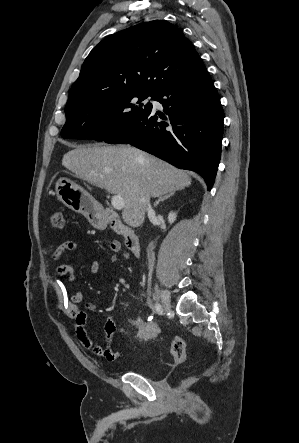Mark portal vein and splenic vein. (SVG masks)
Masks as SVG:
<instances>
[{
	"label": "portal vein and splenic vein",
	"instance_id": "18ae733b",
	"mask_svg": "<svg viewBox=\"0 0 299 443\" xmlns=\"http://www.w3.org/2000/svg\"><path fill=\"white\" fill-rule=\"evenodd\" d=\"M111 204L116 210H122L125 206L124 199L119 195H113L111 198Z\"/></svg>",
	"mask_w": 299,
	"mask_h": 443
}]
</instances>
